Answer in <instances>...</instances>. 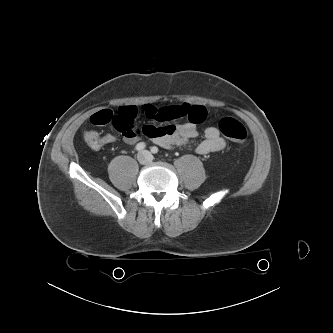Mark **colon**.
Returning a JSON list of instances; mask_svg holds the SVG:
<instances>
[{
    "instance_id": "5ec220e1",
    "label": "colon",
    "mask_w": 333,
    "mask_h": 333,
    "mask_svg": "<svg viewBox=\"0 0 333 333\" xmlns=\"http://www.w3.org/2000/svg\"><path fill=\"white\" fill-rule=\"evenodd\" d=\"M137 110L134 107H126L118 112L112 110H101L94 114L93 122L95 125H113L118 131H126L133 127ZM220 132L229 140L243 144L248 138L245 126L232 117H224L218 123ZM85 143L93 150L100 149L106 144L105 136L96 130H88L84 134Z\"/></svg>"
}]
</instances>
